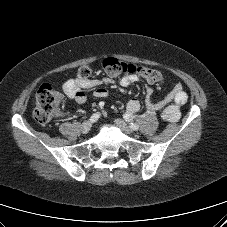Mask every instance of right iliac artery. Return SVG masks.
<instances>
[{"instance_id":"1","label":"right iliac artery","mask_w":227,"mask_h":227,"mask_svg":"<svg viewBox=\"0 0 227 227\" xmlns=\"http://www.w3.org/2000/svg\"><path fill=\"white\" fill-rule=\"evenodd\" d=\"M99 118H100V113L97 112V113H94V114L90 117L89 121H90L91 123H94V122H96Z\"/></svg>"}]
</instances>
